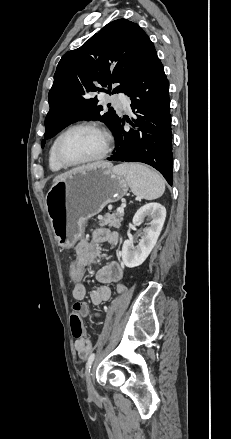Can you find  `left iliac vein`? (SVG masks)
<instances>
[{
  "label": "left iliac vein",
  "instance_id": "1",
  "mask_svg": "<svg viewBox=\"0 0 231 439\" xmlns=\"http://www.w3.org/2000/svg\"><path fill=\"white\" fill-rule=\"evenodd\" d=\"M91 376H92V371L91 372L89 371V374L87 376V390H88L89 397L91 399H95V398H97V391L92 383Z\"/></svg>",
  "mask_w": 231,
  "mask_h": 439
}]
</instances>
